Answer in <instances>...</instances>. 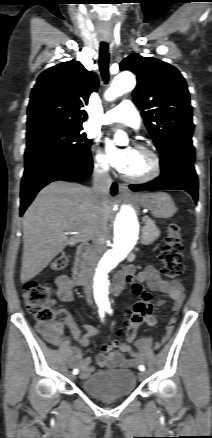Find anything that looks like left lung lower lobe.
Returning a JSON list of instances; mask_svg holds the SVG:
<instances>
[{"instance_id": "obj_1", "label": "left lung lower lobe", "mask_w": 212, "mask_h": 438, "mask_svg": "<svg viewBox=\"0 0 212 438\" xmlns=\"http://www.w3.org/2000/svg\"><path fill=\"white\" fill-rule=\"evenodd\" d=\"M161 175L145 184L130 185L133 191L183 189L198 200V178L194 168L192 140L175 141L160 152Z\"/></svg>"}]
</instances>
